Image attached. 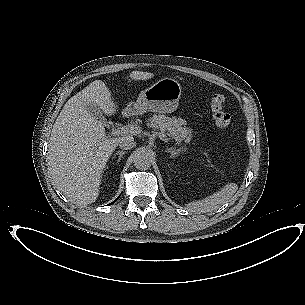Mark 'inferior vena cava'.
Returning <instances> with one entry per match:
<instances>
[{"label": "inferior vena cava", "instance_id": "obj_1", "mask_svg": "<svg viewBox=\"0 0 305 305\" xmlns=\"http://www.w3.org/2000/svg\"><path fill=\"white\" fill-rule=\"evenodd\" d=\"M117 145L123 150H130L136 146V142H134L133 136L127 135L123 137H119L117 140Z\"/></svg>", "mask_w": 305, "mask_h": 305}]
</instances>
